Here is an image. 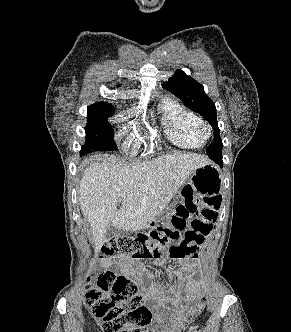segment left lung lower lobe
<instances>
[{
    "label": "left lung lower lobe",
    "instance_id": "1",
    "mask_svg": "<svg viewBox=\"0 0 291 332\" xmlns=\"http://www.w3.org/2000/svg\"><path fill=\"white\" fill-rule=\"evenodd\" d=\"M211 159H213L218 165L222 166L223 164L222 155L213 156Z\"/></svg>",
    "mask_w": 291,
    "mask_h": 332
}]
</instances>
